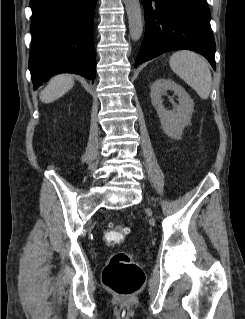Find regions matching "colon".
Wrapping results in <instances>:
<instances>
[{
  "label": "colon",
  "instance_id": "1",
  "mask_svg": "<svg viewBox=\"0 0 245 319\" xmlns=\"http://www.w3.org/2000/svg\"><path fill=\"white\" fill-rule=\"evenodd\" d=\"M128 233L127 227L115 223H110L103 231L104 238L109 244L122 242ZM102 282L115 294L128 300L142 288L145 274L130 254L120 252L113 254L107 261Z\"/></svg>",
  "mask_w": 245,
  "mask_h": 319
}]
</instances>
